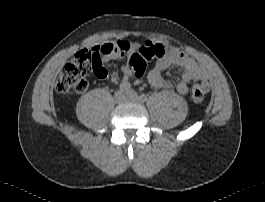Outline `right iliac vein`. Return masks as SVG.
Returning <instances> with one entry per match:
<instances>
[{
  "label": "right iliac vein",
  "mask_w": 265,
  "mask_h": 202,
  "mask_svg": "<svg viewBox=\"0 0 265 202\" xmlns=\"http://www.w3.org/2000/svg\"><path fill=\"white\" fill-rule=\"evenodd\" d=\"M114 98H115V101L118 103H124L127 101V95L122 91L116 92Z\"/></svg>",
  "instance_id": "right-iliac-vein-1"
}]
</instances>
